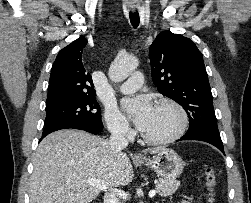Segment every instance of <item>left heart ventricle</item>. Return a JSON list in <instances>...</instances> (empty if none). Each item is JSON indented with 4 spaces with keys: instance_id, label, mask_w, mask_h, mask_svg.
<instances>
[{
    "instance_id": "obj_1",
    "label": "left heart ventricle",
    "mask_w": 251,
    "mask_h": 203,
    "mask_svg": "<svg viewBox=\"0 0 251 203\" xmlns=\"http://www.w3.org/2000/svg\"><path fill=\"white\" fill-rule=\"evenodd\" d=\"M179 120V115L174 108L155 106L152 118L143 133L153 138L169 136L177 129Z\"/></svg>"
}]
</instances>
